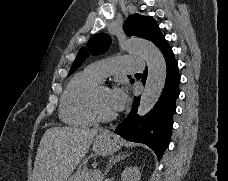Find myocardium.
Here are the masks:
<instances>
[{
  "label": "myocardium",
  "instance_id": "obj_1",
  "mask_svg": "<svg viewBox=\"0 0 228 181\" xmlns=\"http://www.w3.org/2000/svg\"><path fill=\"white\" fill-rule=\"evenodd\" d=\"M110 87H111L110 83L105 82L104 80H101V84L97 86L94 90L93 99L91 102V109L95 118L99 121H110L115 117L113 113L103 112L99 105V99H98L99 92L104 88H110Z\"/></svg>",
  "mask_w": 228,
  "mask_h": 181
}]
</instances>
